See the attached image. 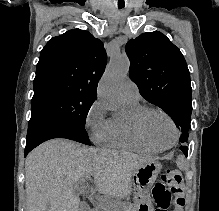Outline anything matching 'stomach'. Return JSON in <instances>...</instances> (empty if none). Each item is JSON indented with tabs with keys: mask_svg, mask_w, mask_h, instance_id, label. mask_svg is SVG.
<instances>
[{
	"mask_svg": "<svg viewBox=\"0 0 219 211\" xmlns=\"http://www.w3.org/2000/svg\"><path fill=\"white\" fill-rule=\"evenodd\" d=\"M161 168V163L154 160L144 164L134 172L133 184L137 191L135 211H154L149 200V190L156 181Z\"/></svg>",
	"mask_w": 219,
	"mask_h": 211,
	"instance_id": "stomach-1",
	"label": "stomach"
}]
</instances>
